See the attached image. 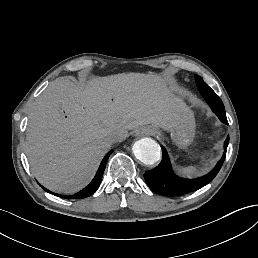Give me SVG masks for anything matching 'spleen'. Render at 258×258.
<instances>
[{"instance_id": "3e777b00", "label": "spleen", "mask_w": 258, "mask_h": 258, "mask_svg": "<svg viewBox=\"0 0 258 258\" xmlns=\"http://www.w3.org/2000/svg\"><path fill=\"white\" fill-rule=\"evenodd\" d=\"M179 174L180 175H185L187 177H191V176H194L196 174L199 173V169L197 166H189V167H185V168H182V169H179Z\"/></svg>"}]
</instances>
